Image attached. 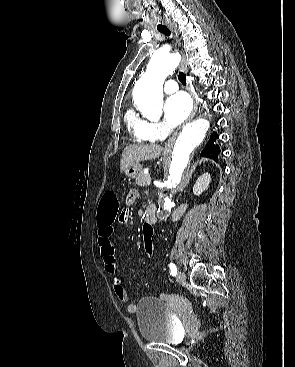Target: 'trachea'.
Listing matches in <instances>:
<instances>
[{"label": "trachea", "mask_w": 295, "mask_h": 367, "mask_svg": "<svg viewBox=\"0 0 295 367\" xmlns=\"http://www.w3.org/2000/svg\"><path fill=\"white\" fill-rule=\"evenodd\" d=\"M157 30L167 36H170V31L166 26H159ZM178 78L183 85H186V76L183 72H179Z\"/></svg>", "instance_id": "trachea-1"}]
</instances>
